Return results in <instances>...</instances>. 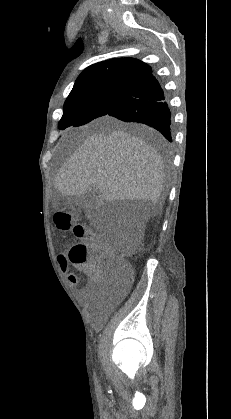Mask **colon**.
Returning a JSON list of instances; mask_svg holds the SVG:
<instances>
[{
	"mask_svg": "<svg viewBox=\"0 0 231 419\" xmlns=\"http://www.w3.org/2000/svg\"><path fill=\"white\" fill-rule=\"evenodd\" d=\"M57 227L63 231L72 230L76 238L80 239L69 250L68 264L88 266L90 276L99 287L108 285L110 290H116L127 282L132 268L125 252L115 251L103 243L93 230L84 223L75 222L67 211L56 213Z\"/></svg>",
	"mask_w": 231,
	"mask_h": 419,
	"instance_id": "1",
	"label": "colon"
}]
</instances>
